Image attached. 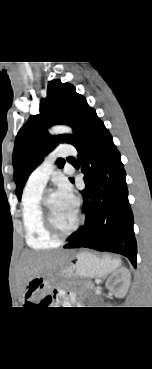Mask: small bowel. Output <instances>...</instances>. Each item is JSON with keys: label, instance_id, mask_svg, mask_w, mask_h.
Listing matches in <instances>:
<instances>
[{"label": "small bowel", "instance_id": "obj_1", "mask_svg": "<svg viewBox=\"0 0 152 369\" xmlns=\"http://www.w3.org/2000/svg\"><path fill=\"white\" fill-rule=\"evenodd\" d=\"M69 296H70V299H71L72 301H74V300H75V295L70 294Z\"/></svg>", "mask_w": 152, "mask_h": 369}]
</instances>
